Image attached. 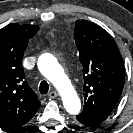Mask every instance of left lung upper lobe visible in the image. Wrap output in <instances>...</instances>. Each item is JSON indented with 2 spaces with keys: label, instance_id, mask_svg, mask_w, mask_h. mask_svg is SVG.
<instances>
[{
  "label": "left lung upper lobe",
  "instance_id": "5c2ea615",
  "mask_svg": "<svg viewBox=\"0 0 133 133\" xmlns=\"http://www.w3.org/2000/svg\"><path fill=\"white\" fill-rule=\"evenodd\" d=\"M74 37L84 74L82 112L106 119L123 90L122 56L110 34L87 20L76 21Z\"/></svg>",
  "mask_w": 133,
  "mask_h": 133
}]
</instances>
